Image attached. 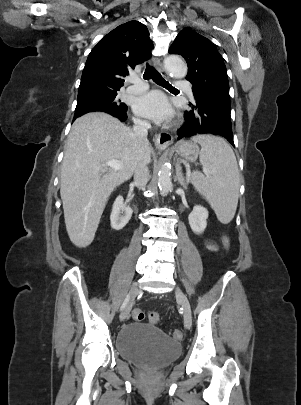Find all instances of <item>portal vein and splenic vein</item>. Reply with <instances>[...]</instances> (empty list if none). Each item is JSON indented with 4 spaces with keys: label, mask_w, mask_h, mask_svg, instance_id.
<instances>
[{
    "label": "portal vein and splenic vein",
    "mask_w": 301,
    "mask_h": 405,
    "mask_svg": "<svg viewBox=\"0 0 301 405\" xmlns=\"http://www.w3.org/2000/svg\"><path fill=\"white\" fill-rule=\"evenodd\" d=\"M103 166H108V167H110V168H112V169H114V170H120V169H122V164H121V162L118 161V160H109V161H106V162L103 164Z\"/></svg>",
    "instance_id": "18ae733b"
}]
</instances>
